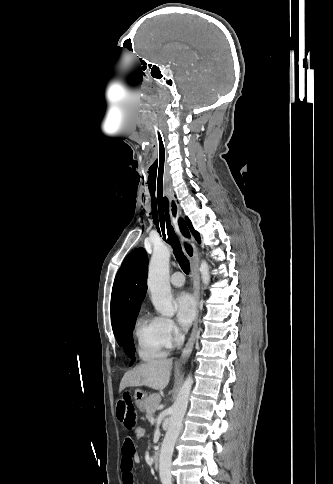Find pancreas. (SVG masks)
Wrapping results in <instances>:
<instances>
[{
  "instance_id": "cf45deb5",
  "label": "pancreas",
  "mask_w": 333,
  "mask_h": 484,
  "mask_svg": "<svg viewBox=\"0 0 333 484\" xmlns=\"http://www.w3.org/2000/svg\"><path fill=\"white\" fill-rule=\"evenodd\" d=\"M160 402H161V398L158 394H152L147 398L145 412H146V418L148 420L154 416L156 408L158 407Z\"/></svg>"
}]
</instances>
